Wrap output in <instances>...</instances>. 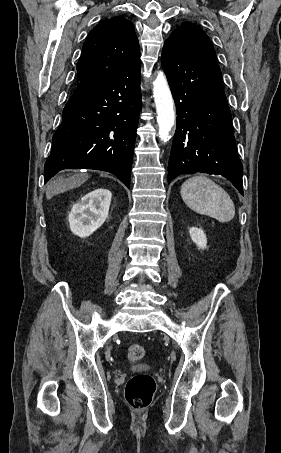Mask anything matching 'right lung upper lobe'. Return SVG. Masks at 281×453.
<instances>
[{
	"instance_id": "right-lung-upper-lobe-1",
	"label": "right lung upper lobe",
	"mask_w": 281,
	"mask_h": 453,
	"mask_svg": "<svg viewBox=\"0 0 281 453\" xmlns=\"http://www.w3.org/2000/svg\"><path fill=\"white\" fill-rule=\"evenodd\" d=\"M140 56L134 25L122 16L101 21L88 34L77 63V81L107 80Z\"/></svg>"
}]
</instances>
